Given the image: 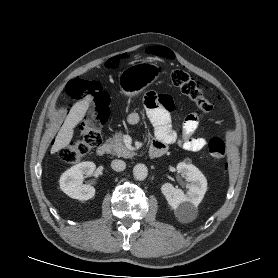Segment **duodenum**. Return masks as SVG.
Wrapping results in <instances>:
<instances>
[{
  "label": "duodenum",
  "mask_w": 278,
  "mask_h": 278,
  "mask_svg": "<svg viewBox=\"0 0 278 278\" xmlns=\"http://www.w3.org/2000/svg\"><path fill=\"white\" fill-rule=\"evenodd\" d=\"M109 151V145L106 143L101 144L97 150L96 153L98 156H104ZM166 149L163 145L160 144H153L149 149V155L152 158H158L161 157L165 153Z\"/></svg>",
  "instance_id": "1"
}]
</instances>
